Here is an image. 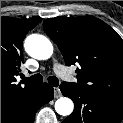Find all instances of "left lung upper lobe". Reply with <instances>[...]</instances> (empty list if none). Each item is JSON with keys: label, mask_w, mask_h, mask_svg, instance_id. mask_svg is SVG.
Wrapping results in <instances>:
<instances>
[{"label": "left lung upper lobe", "mask_w": 123, "mask_h": 123, "mask_svg": "<svg viewBox=\"0 0 123 123\" xmlns=\"http://www.w3.org/2000/svg\"><path fill=\"white\" fill-rule=\"evenodd\" d=\"M46 34L59 47L66 65L78 64L75 88L123 101V40L93 16L51 18Z\"/></svg>", "instance_id": "left-lung-upper-lobe-1"}]
</instances>
